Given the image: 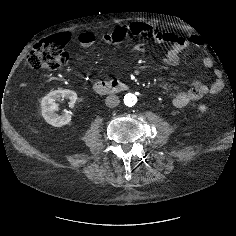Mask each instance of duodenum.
I'll use <instances>...</instances> for the list:
<instances>
[{"label": "duodenum", "mask_w": 236, "mask_h": 236, "mask_svg": "<svg viewBox=\"0 0 236 236\" xmlns=\"http://www.w3.org/2000/svg\"><path fill=\"white\" fill-rule=\"evenodd\" d=\"M127 84L121 81H98L94 84V91L101 95L114 94L125 91Z\"/></svg>", "instance_id": "obj_1"}]
</instances>
